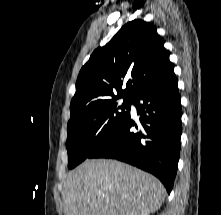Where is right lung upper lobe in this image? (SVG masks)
I'll list each match as a JSON object with an SVG mask.
<instances>
[{"mask_svg": "<svg viewBox=\"0 0 221 215\" xmlns=\"http://www.w3.org/2000/svg\"><path fill=\"white\" fill-rule=\"evenodd\" d=\"M173 72L164 41L156 28L135 19L92 53L80 70L71 105L133 99Z\"/></svg>", "mask_w": 221, "mask_h": 215, "instance_id": "right-lung-upper-lobe-1", "label": "right lung upper lobe"}]
</instances>
